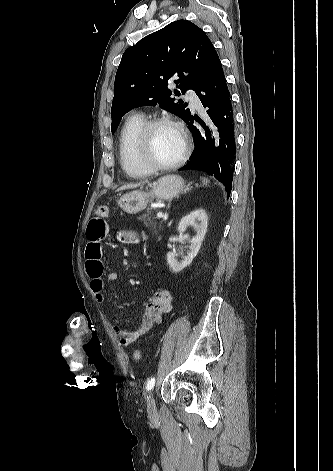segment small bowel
Instances as JSON below:
<instances>
[{
	"instance_id": "c3829d8e",
	"label": "small bowel",
	"mask_w": 333,
	"mask_h": 471,
	"mask_svg": "<svg viewBox=\"0 0 333 471\" xmlns=\"http://www.w3.org/2000/svg\"><path fill=\"white\" fill-rule=\"evenodd\" d=\"M109 233L108 224L105 217L96 215L90 219L87 227V246L85 249V269L90 278V287L97 302L105 301L104 277L109 282L119 279V274L115 271L104 275L102 263V241ZM119 239L123 242L134 244L138 242V236L134 231L125 230L119 233ZM174 298L171 292L161 290L154 292L146 301L141 321L133 329H127L119 325L113 326V332L119 337L122 346L127 347L148 334L153 327L160 324L163 316L172 311Z\"/></svg>"
}]
</instances>
